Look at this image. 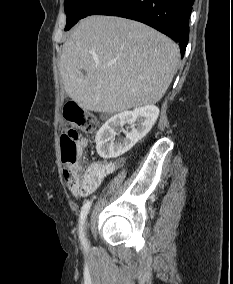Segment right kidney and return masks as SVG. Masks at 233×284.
Here are the masks:
<instances>
[{
	"label": "right kidney",
	"mask_w": 233,
	"mask_h": 284,
	"mask_svg": "<svg viewBox=\"0 0 233 284\" xmlns=\"http://www.w3.org/2000/svg\"><path fill=\"white\" fill-rule=\"evenodd\" d=\"M158 116L159 108L154 105L136 107L132 111L114 115L96 134L97 153L103 158L123 155L149 133ZM125 124L130 125V130H123L125 137L115 140Z\"/></svg>",
	"instance_id": "obj_1"
}]
</instances>
